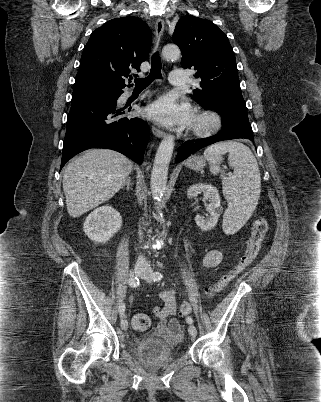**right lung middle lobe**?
I'll return each instance as SVG.
<instances>
[{
  "label": "right lung middle lobe",
  "instance_id": "obj_1",
  "mask_svg": "<svg viewBox=\"0 0 321 402\" xmlns=\"http://www.w3.org/2000/svg\"><path fill=\"white\" fill-rule=\"evenodd\" d=\"M120 91H121L120 89L104 85H96V84L74 85L72 101L81 99L111 101L117 97Z\"/></svg>",
  "mask_w": 321,
  "mask_h": 402
}]
</instances>
